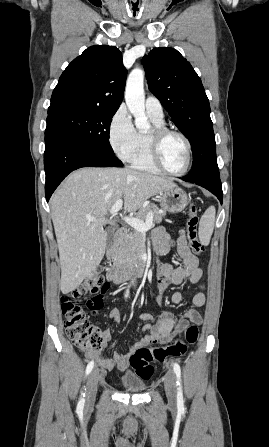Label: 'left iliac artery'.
Listing matches in <instances>:
<instances>
[{"instance_id": "44dca946", "label": "left iliac artery", "mask_w": 269, "mask_h": 447, "mask_svg": "<svg viewBox=\"0 0 269 447\" xmlns=\"http://www.w3.org/2000/svg\"><path fill=\"white\" fill-rule=\"evenodd\" d=\"M174 372L176 374L177 377V406L178 407H183L184 406V401H183V394H182V387H181V369L180 366L177 363H174Z\"/></svg>"}]
</instances>
